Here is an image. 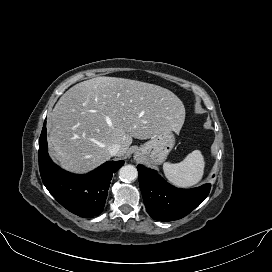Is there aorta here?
<instances>
[{
  "label": "aorta",
  "mask_w": 272,
  "mask_h": 272,
  "mask_svg": "<svg viewBox=\"0 0 272 272\" xmlns=\"http://www.w3.org/2000/svg\"><path fill=\"white\" fill-rule=\"evenodd\" d=\"M138 177V171L133 165H124L119 170V178L123 182H132Z\"/></svg>",
  "instance_id": "aorta-1"
}]
</instances>
